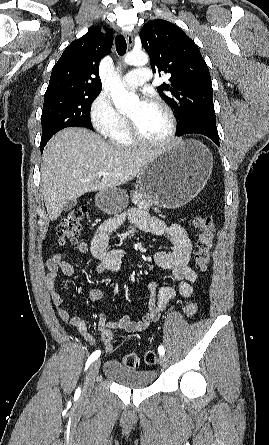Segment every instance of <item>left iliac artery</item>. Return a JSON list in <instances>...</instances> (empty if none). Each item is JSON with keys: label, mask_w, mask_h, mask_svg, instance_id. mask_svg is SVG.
Listing matches in <instances>:
<instances>
[{"label": "left iliac artery", "mask_w": 269, "mask_h": 445, "mask_svg": "<svg viewBox=\"0 0 269 445\" xmlns=\"http://www.w3.org/2000/svg\"><path fill=\"white\" fill-rule=\"evenodd\" d=\"M158 353H159L160 355H164V353H165V349H164V347H163L162 345L158 347Z\"/></svg>", "instance_id": "obj_1"}]
</instances>
